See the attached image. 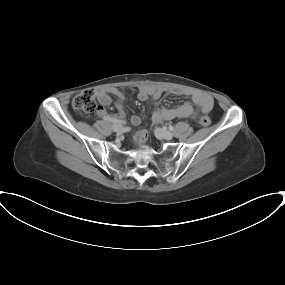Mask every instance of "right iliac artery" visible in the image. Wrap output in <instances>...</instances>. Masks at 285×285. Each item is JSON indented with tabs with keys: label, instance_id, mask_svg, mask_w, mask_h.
Listing matches in <instances>:
<instances>
[{
	"label": "right iliac artery",
	"instance_id": "82829eb1",
	"mask_svg": "<svg viewBox=\"0 0 285 285\" xmlns=\"http://www.w3.org/2000/svg\"><path fill=\"white\" fill-rule=\"evenodd\" d=\"M112 122H114L115 124H117V123H125L123 121H112Z\"/></svg>",
	"mask_w": 285,
	"mask_h": 285
}]
</instances>
